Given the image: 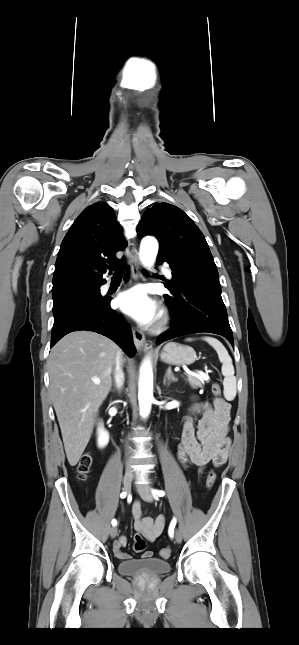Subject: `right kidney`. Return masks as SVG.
I'll use <instances>...</instances> for the list:
<instances>
[{
	"mask_svg": "<svg viewBox=\"0 0 299 645\" xmlns=\"http://www.w3.org/2000/svg\"><path fill=\"white\" fill-rule=\"evenodd\" d=\"M97 444L98 447L104 448L109 442V433L104 429L103 424L100 422L97 429Z\"/></svg>",
	"mask_w": 299,
	"mask_h": 645,
	"instance_id": "1",
	"label": "right kidney"
}]
</instances>
